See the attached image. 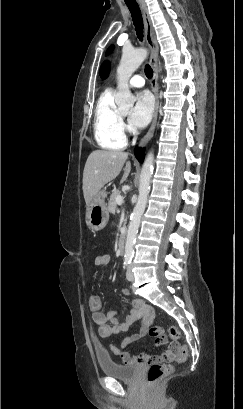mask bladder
Listing matches in <instances>:
<instances>
[{"instance_id": "31cf9c89", "label": "bladder", "mask_w": 243, "mask_h": 409, "mask_svg": "<svg viewBox=\"0 0 243 409\" xmlns=\"http://www.w3.org/2000/svg\"><path fill=\"white\" fill-rule=\"evenodd\" d=\"M98 364L105 375L120 381H134L141 372L139 365H123L111 358H98Z\"/></svg>"}]
</instances>
